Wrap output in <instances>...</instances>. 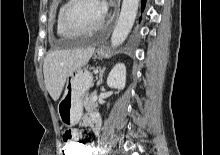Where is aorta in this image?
I'll return each instance as SVG.
<instances>
[{"instance_id":"762f6f07","label":"aorta","mask_w":220,"mask_h":155,"mask_svg":"<svg viewBox=\"0 0 220 155\" xmlns=\"http://www.w3.org/2000/svg\"><path fill=\"white\" fill-rule=\"evenodd\" d=\"M139 0H123L116 27L111 36L112 47L122 44L127 38L135 22Z\"/></svg>"}]
</instances>
